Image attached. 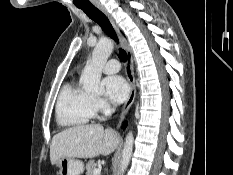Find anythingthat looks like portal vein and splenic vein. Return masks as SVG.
Returning <instances> with one entry per match:
<instances>
[{
	"instance_id": "obj_1",
	"label": "portal vein and splenic vein",
	"mask_w": 233,
	"mask_h": 175,
	"mask_svg": "<svg viewBox=\"0 0 233 175\" xmlns=\"http://www.w3.org/2000/svg\"><path fill=\"white\" fill-rule=\"evenodd\" d=\"M101 174V170L100 169H95L93 171V175H100Z\"/></svg>"
}]
</instances>
